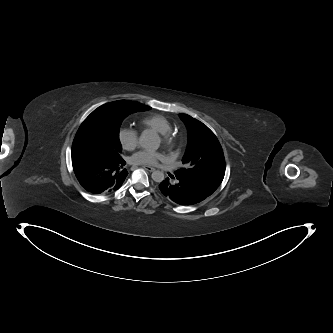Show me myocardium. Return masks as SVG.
Returning <instances> with one entry per match:
<instances>
[{
  "instance_id": "myocardium-1",
  "label": "myocardium",
  "mask_w": 333,
  "mask_h": 333,
  "mask_svg": "<svg viewBox=\"0 0 333 333\" xmlns=\"http://www.w3.org/2000/svg\"><path fill=\"white\" fill-rule=\"evenodd\" d=\"M159 135L161 136L162 144L167 149H171L172 146L174 145V136L172 135V133L169 131V132H165V133H159Z\"/></svg>"
}]
</instances>
